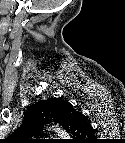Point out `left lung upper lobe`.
<instances>
[{
  "label": "left lung upper lobe",
  "mask_w": 125,
  "mask_h": 143,
  "mask_svg": "<svg viewBox=\"0 0 125 143\" xmlns=\"http://www.w3.org/2000/svg\"><path fill=\"white\" fill-rule=\"evenodd\" d=\"M67 101L48 98L31 105L25 112L23 125L8 138L10 140H28L30 136L38 135L44 124L54 121L65 127L73 136L92 133L93 129L85 119L74 122L71 126L65 124V106ZM76 123V124H75ZM28 142V141H22Z\"/></svg>",
  "instance_id": "obj_1"
}]
</instances>
